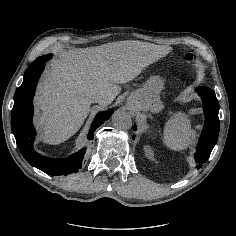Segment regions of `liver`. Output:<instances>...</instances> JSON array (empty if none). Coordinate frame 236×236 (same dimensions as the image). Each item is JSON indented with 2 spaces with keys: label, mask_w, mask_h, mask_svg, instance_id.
Wrapping results in <instances>:
<instances>
[{
  "label": "liver",
  "mask_w": 236,
  "mask_h": 236,
  "mask_svg": "<svg viewBox=\"0 0 236 236\" xmlns=\"http://www.w3.org/2000/svg\"><path fill=\"white\" fill-rule=\"evenodd\" d=\"M170 50L166 45L119 41L62 54L51 63L36 98V106L44 111L40 125L46 130L45 140L55 144L73 135L97 94L112 102L120 85L143 73L148 59L164 57Z\"/></svg>",
  "instance_id": "obj_1"
}]
</instances>
